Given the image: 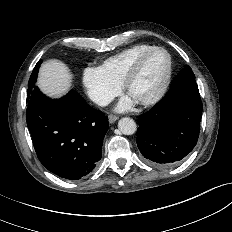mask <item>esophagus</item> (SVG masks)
<instances>
[{"label": "esophagus", "instance_id": "esophagus-1", "mask_svg": "<svg viewBox=\"0 0 232 232\" xmlns=\"http://www.w3.org/2000/svg\"><path fill=\"white\" fill-rule=\"evenodd\" d=\"M108 120L110 123H114L115 121L118 120V116L116 115H109Z\"/></svg>", "mask_w": 232, "mask_h": 232}]
</instances>
